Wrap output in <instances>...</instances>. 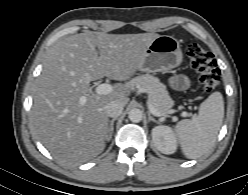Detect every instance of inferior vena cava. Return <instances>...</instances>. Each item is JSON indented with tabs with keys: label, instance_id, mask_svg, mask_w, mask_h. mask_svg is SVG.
Listing matches in <instances>:
<instances>
[{
	"label": "inferior vena cava",
	"instance_id": "obj_1",
	"mask_svg": "<svg viewBox=\"0 0 248 195\" xmlns=\"http://www.w3.org/2000/svg\"><path fill=\"white\" fill-rule=\"evenodd\" d=\"M105 111L109 117L116 118L121 115L123 105L118 101H111L105 106Z\"/></svg>",
	"mask_w": 248,
	"mask_h": 195
}]
</instances>
